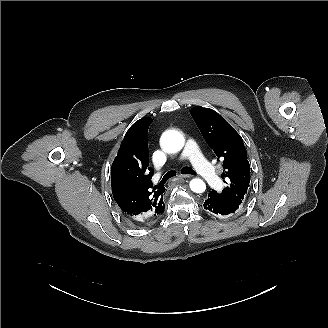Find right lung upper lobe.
I'll use <instances>...</instances> for the list:
<instances>
[{"label": "right lung upper lobe", "mask_w": 328, "mask_h": 328, "mask_svg": "<svg viewBox=\"0 0 328 328\" xmlns=\"http://www.w3.org/2000/svg\"><path fill=\"white\" fill-rule=\"evenodd\" d=\"M152 118L136 121L127 131L111 167L112 194L127 219L148 224L164 211L165 188L155 190L148 162L147 133Z\"/></svg>", "instance_id": "cb5924a9"}]
</instances>
